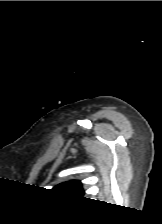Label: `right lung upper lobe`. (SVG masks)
Wrapping results in <instances>:
<instances>
[{"instance_id": "obj_1", "label": "right lung upper lobe", "mask_w": 162, "mask_h": 224, "mask_svg": "<svg viewBox=\"0 0 162 224\" xmlns=\"http://www.w3.org/2000/svg\"><path fill=\"white\" fill-rule=\"evenodd\" d=\"M55 190L66 192L74 196L82 197L84 191L82 189V184L80 181H68L57 185Z\"/></svg>"}]
</instances>
